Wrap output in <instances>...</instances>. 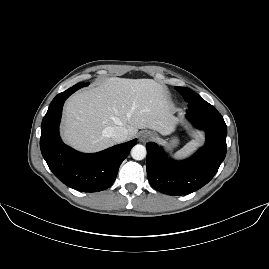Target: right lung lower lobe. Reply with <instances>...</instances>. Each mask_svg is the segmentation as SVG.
Wrapping results in <instances>:
<instances>
[{"label": "right lung lower lobe", "mask_w": 269, "mask_h": 269, "mask_svg": "<svg viewBox=\"0 0 269 269\" xmlns=\"http://www.w3.org/2000/svg\"><path fill=\"white\" fill-rule=\"evenodd\" d=\"M88 83H78L58 94L51 102L41 125L40 148L54 175L65 185L82 192H98L110 187L122 161L137 139L94 154H83L66 146L59 136L64 101Z\"/></svg>", "instance_id": "1"}]
</instances>
